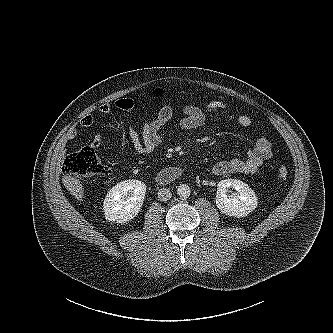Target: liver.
Listing matches in <instances>:
<instances>
[{
	"instance_id": "liver-1",
	"label": "liver",
	"mask_w": 333,
	"mask_h": 333,
	"mask_svg": "<svg viewBox=\"0 0 333 333\" xmlns=\"http://www.w3.org/2000/svg\"><path fill=\"white\" fill-rule=\"evenodd\" d=\"M63 184L66 189L73 195L76 199L82 200L84 198V188L79 179L65 175L62 178Z\"/></svg>"
}]
</instances>
